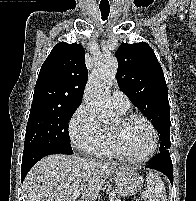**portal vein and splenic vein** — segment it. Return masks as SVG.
I'll return each instance as SVG.
<instances>
[{"mask_svg": "<svg viewBox=\"0 0 196 201\" xmlns=\"http://www.w3.org/2000/svg\"><path fill=\"white\" fill-rule=\"evenodd\" d=\"M80 195V192H77L73 195V198H77Z\"/></svg>", "mask_w": 196, "mask_h": 201, "instance_id": "obj_1", "label": "portal vein and splenic vein"}]
</instances>
